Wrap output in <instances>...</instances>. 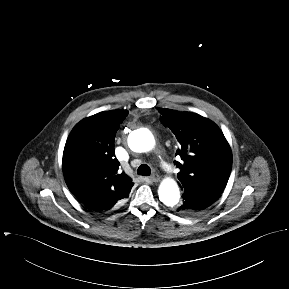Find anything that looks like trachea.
<instances>
[{"instance_id": "obj_1", "label": "trachea", "mask_w": 289, "mask_h": 289, "mask_svg": "<svg viewBox=\"0 0 289 289\" xmlns=\"http://www.w3.org/2000/svg\"><path fill=\"white\" fill-rule=\"evenodd\" d=\"M137 173L138 175L149 176L151 174V169L148 165L142 164L138 167Z\"/></svg>"}]
</instances>
